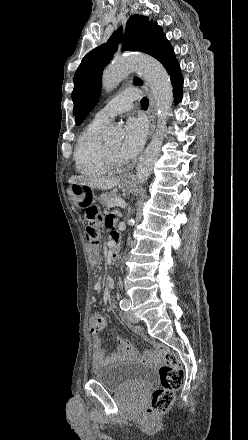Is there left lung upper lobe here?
Instances as JSON below:
<instances>
[{
	"instance_id": "5c2ea615",
	"label": "left lung upper lobe",
	"mask_w": 248,
	"mask_h": 440,
	"mask_svg": "<svg viewBox=\"0 0 248 440\" xmlns=\"http://www.w3.org/2000/svg\"><path fill=\"white\" fill-rule=\"evenodd\" d=\"M123 39L122 51H141L158 61L168 71L169 75L180 73L179 64L174 51L167 41L160 26L141 15L131 16L126 23L125 35L122 38V28L113 33L106 44L93 49L81 61L75 76L72 100L76 123L83 122L90 110L94 107L100 95L101 77L105 66L117 51L118 43ZM134 84L141 85L139 78Z\"/></svg>"
}]
</instances>
